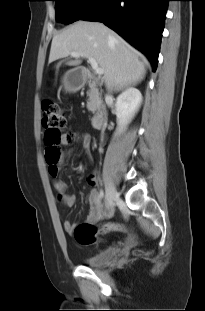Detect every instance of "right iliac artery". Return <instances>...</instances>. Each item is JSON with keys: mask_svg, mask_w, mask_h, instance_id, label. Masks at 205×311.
Returning a JSON list of instances; mask_svg holds the SVG:
<instances>
[{"mask_svg": "<svg viewBox=\"0 0 205 311\" xmlns=\"http://www.w3.org/2000/svg\"><path fill=\"white\" fill-rule=\"evenodd\" d=\"M104 197V190L101 188L99 191V198L102 199Z\"/></svg>", "mask_w": 205, "mask_h": 311, "instance_id": "obj_1", "label": "right iliac artery"}]
</instances>
